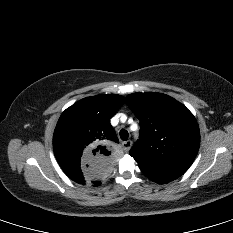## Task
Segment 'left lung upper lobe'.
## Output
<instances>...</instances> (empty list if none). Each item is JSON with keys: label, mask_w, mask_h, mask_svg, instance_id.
Segmentation results:
<instances>
[{"label": "left lung upper lobe", "mask_w": 233, "mask_h": 233, "mask_svg": "<svg viewBox=\"0 0 233 233\" xmlns=\"http://www.w3.org/2000/svg\"><path fill=\"white\" fill-rule=\"evenodd\" d=\"M126 103L140 120V138L130 150L139 166L187 171L200 145L193 114L162 93H133L126 97Z\"/></svg>", "instance_id": "1"}]
</instances>
